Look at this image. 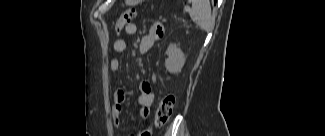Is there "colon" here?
<instances>
[{"label": "colon", "mask_w": 325, "mask_h": 136, "mask_svg": "<svg viewBox=\"0 0 325 136\" xmlns=\"http://www.w3.org/2000/svg\"><path fill=\"white\" fill-rule=\"evenodd\" d=\"M137 15L135 8H130L124 11L116 22V32L120 33L127 25L131 24ZM175 98L173 95L168 94L164 96L158 103L154 125L161 127L165 125L173 115Z\"/></svg>", "instance_id": "obj_1"}]
</instances>
